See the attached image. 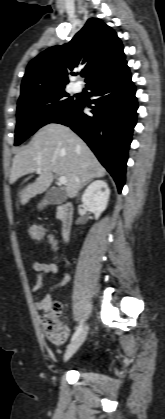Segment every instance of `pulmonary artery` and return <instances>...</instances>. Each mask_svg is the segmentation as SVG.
<instances>
[{
    "instance_id": "e3ab8cb5",
    "label": "pulmonary artery",
    "mask_w": 165,
    "mask_h": 419,
    "mask_svg": "<svg viewBox=\"0 0 165 419\" xmlns=\"http://www.w3.org/2000/svg\"><path fill=\"white\" fill-rule=\"evenodd\" d=\"M73 91L74 92H80L81 91V85L80 84H75L74 86H73Z\"/></svg>"
}]
</instances>
